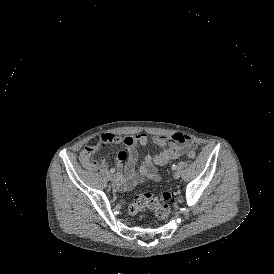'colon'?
<instances>
[{"label":"colon","mask_w":274,"mask_h":274,"mask_svg":"<svg viewBox=\"0 0 274 274\" xmlns=\"http://www.w3.org/2000/svg\"><path fill=\"white\" fill-rule=\"evenodd\" d=\"M104 147H100L98 136L89 140L85 146L84 155L87 157L88 152H99ZM188 160H194L196 153L194 150L186 152ZM171 200V194L169 192H162L160 195H154L152 193H141L135 196L132 200L127 201L121 199L120 202L129 213L135 214L145 209H149L152 215H147L143 218L144 222H151L154 217L164 219L170 214V207L168 202Z\"/></svg>","instance_id":"5ec220e1"}]
</instances>
